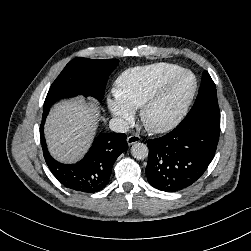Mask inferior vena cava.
<instances>
[{
	"label": "inferior vena cava",
	"instance_id": "1",
	"mask_svg": "<svg viewBox=\"0 0 251 251\" xmlns=\"http://www.w3.org/2000/svg\"><path fill=\"white\" fill-rule=\"evenodd\" d=\"M110 129L115 132L125 133L129 130V124L122 118L114 117L110 120Z\"/></svg>",
	"mask_w": 251,
	"mask_h": 251
}]
</instances>
